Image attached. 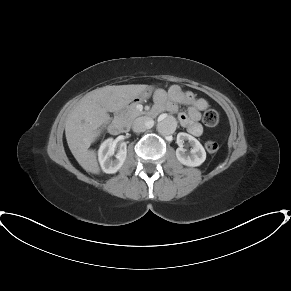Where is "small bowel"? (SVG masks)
<instances>
[{"instance_id": "c3829d8e", "label": "small bowel", "mask_w": 291, "mask_h": 291, "mask_svg": "<svg viewBox=\"0 0 291 291\" xmlns=\"http://www.w3.org/2000/svg\"><path fill=\"white\" fill-rule=\"evenodd\" d=\"M155 107L154 113L159 114L163 111L178 113L179 105H188L187 113H179L178 118L186 130L193 136H201L203 132L202 125L199 123L201 112L208 107V101L203 98H197L189 91L179 86L171 87L168 92L157 90L154 95Z\"/></svg>"}]
</instances>
